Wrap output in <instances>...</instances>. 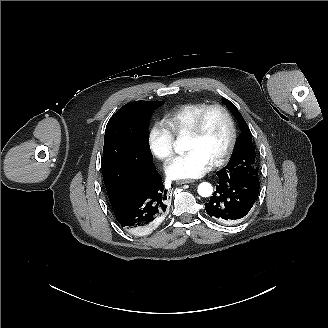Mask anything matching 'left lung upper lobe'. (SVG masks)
I'll return each mask as SVG.
<instances>
[{
    "label": "left lung upper lobe",
    "instance_id": "obj_1",
    "mask_svg": "<svg viewBox=\"0 0 328 328\" xmlns=\"http://www.w3.org/2000/svg\"><path fill=\"white\" fill-rule=\"evenodd\" d=\"M224 103L237 119L243 133L235 147L231 159L227 166L221 170L225 175L245 176L249 178H258V170L255 162V149L252 144V134L250 129L238 111L236 106L227 99Z\"/></svg>",
    "mask_w": 328,
    "mask_h": 328
}]
</instances>
